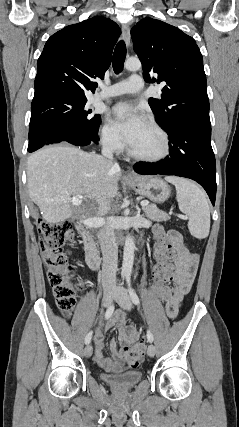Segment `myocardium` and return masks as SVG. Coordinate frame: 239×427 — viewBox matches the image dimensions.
Here are the masks:
<instances>
[{"label": "myocardium", "instance_id": "myocardium-1", "mask_svg": "<svg viewBox=\"0 0 239 427\" xmlns=\"http://www.w3.org/2000/svg\"><path fill=\"white\" fill-rule=\"evenodd\" d=\"M146 122H148L162 137L163 139V149L162 151L155 156H145V155H141L136 153L135 151H133L131 149L130 146L127 147V152L129 154L130 157L138 160V161H142V162H146V163H157L160 162L162 160H164L165 158H167L171 152V141H170V137L168 132L153 118L151 117H147Z\"/></svg>", "mask_w": 239, "mask_h": 427}]
</instances>
